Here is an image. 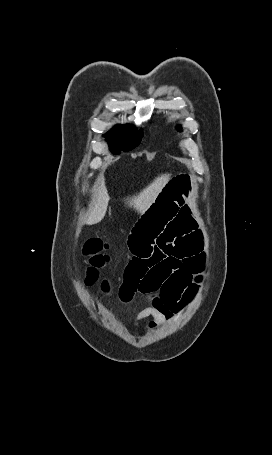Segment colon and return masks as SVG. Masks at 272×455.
<instances>
[{
	"label": "colon",
	"instance_id": "colon-1",
	"mask_svg": "<svg viewBox=\"0 0 272 455\" xmlns=\"http://www.w3.org/2000/svg\"><path fill=\"white\" fill-rule=\"evenodd\" d=\"M108 244L100 238H91L86 241L83 247V255L87 259V270L85 284L91 286L97 279V270L109 262L107 254ZM104 291L109 290V285L106 281L101 285Z\"/></svg>",
	"mask_w": 272,
	"mask_h": 455
}]
</instances>
